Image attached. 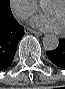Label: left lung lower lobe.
<instances>
[{
  "instance_id": "1",
  "label": "left lung lower lobe",
  "mask_w": 65,
  "mask_h": 89,
  "mask_svg": "<svg viewBox=\"0 0 65 89\" xmlns=\"http://www.w3.org/2000/svg\"><path fill=\"white\" fill-rule=\"evenodd\" d=\"M46 54L52 63L65 69V38L59 40L55 50L48 51Z\"/></svg>"
}]
</instances>
